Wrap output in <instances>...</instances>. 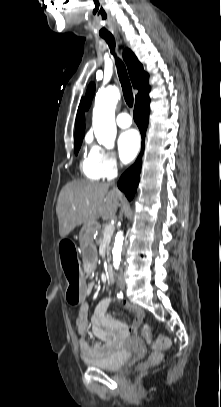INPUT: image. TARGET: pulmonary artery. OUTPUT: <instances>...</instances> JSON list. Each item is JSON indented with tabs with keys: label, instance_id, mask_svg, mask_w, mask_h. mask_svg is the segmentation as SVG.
I'll return each instance as SVG.
<instances>
[{
	"label": "pulmonary artery",
	"instance_id": "1",
	"mask_svg": "<svg viewBox=\"0 0 221 407\" xmlns=\"http://www.w3.org/2000/svg\"><path fill=\"white\" fill-rule=\"evenodd\" d=\"M116 123L121 128H127V127L131 126L132 119L127 112H122L117 115Z\"/></svg>",
	"mask_w": 221,
	"mask_h": 407
}]
</instances>
